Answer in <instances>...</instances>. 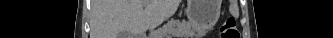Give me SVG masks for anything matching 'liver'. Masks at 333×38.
I'll return each instance as SVG.
<instances>
[{"label":"liver","instance_id":"1","mask_svg":"<svg viewBox=\"0 0 333 38\" xmlns=\"http://www.w3.org/2000/svg\"><path fill=\"white\" fill-rule=\"evenodd\" d=\"M180 0H93L90 38L143 34L174 14Z\"/></svg>","mask_w":333,"mask_h":38}]
</instances>
